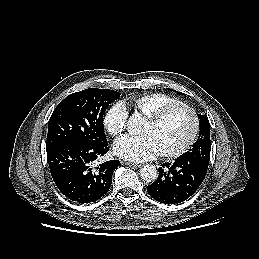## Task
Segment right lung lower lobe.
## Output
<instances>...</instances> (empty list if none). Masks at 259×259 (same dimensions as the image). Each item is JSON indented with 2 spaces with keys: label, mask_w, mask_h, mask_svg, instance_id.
<instances>
[{
  "label": "right lung lower lobe",
  "mask_w": 259,
  "mask_h": 259,
  "mask_svg": "<svg viewBox=\"0 0 259 259\" xmlns=\"http://www.w3.org/2000/svg\"><path fill=\"white\" fill-rule=\"evenodd\" d=\"M109 151L106 144L64 143L47 150L52 178L59 190L72 201L90 203L108 192L113 171L120 165L110 160L93 169V161Z\"/></svg>",
  "instance_id": "obj_1"
}]
</instances>
